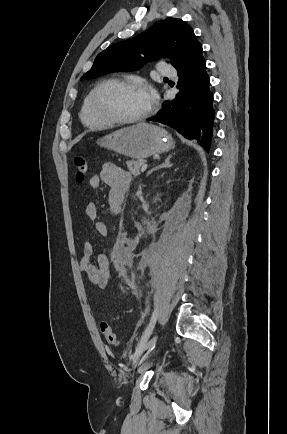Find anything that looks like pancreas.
<instances>
[{
	"label": "pancreas",
	"instance_id": "obj_1",
	"mask_svg": "<svg viewBox=\"0 0 287 434\" xmlns=\"http://www.w3.org/2000/svg\"><path fill=\"white\" fill-rule=\"evenodd\" d=\"M144 162H145L144 159H137V160H133V161H128L127 167L129 169L130 173L133 174L134 176H138L140 174V170H141Z\"/></svg>",
	"mask_w": 287,
	"mask_h": 434
}]
</instances>
